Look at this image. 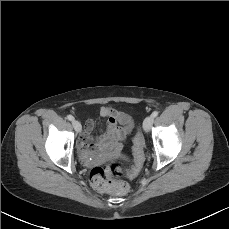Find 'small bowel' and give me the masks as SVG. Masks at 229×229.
Listing matches in <instances>:
<instances>
[{"instance_id": "1", "label": "small bowel", "mask_w": 229, "mask_h": 229, "mask_svg": "<svg viewBox=\"0 0 229 229\" xmlns=\"http://www.w3.org/2000/svg\"><path fill=\"white\" fill-rule=\"evenodd\" d=\"M100 115L107 119V127L100 138L99 150L108 155H117L122 149L129 131L133 128V120L130 116L116 111L110 107H102ZM120 122L123 127L119 128L117 123ZM94 124L88 121L83 129V135L77 142V149L81 160L85 164H95L104 161L101 154L92 155L91 146L94 139L91 136Z\"/></svg>"}]
</instances>
